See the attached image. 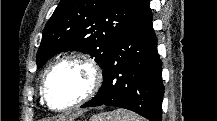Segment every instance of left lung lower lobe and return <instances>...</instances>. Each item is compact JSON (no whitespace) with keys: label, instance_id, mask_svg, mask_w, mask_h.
Returning a JSON list of instances; mask_svg holds the SVG:
<instances>
[{"label":"left lung lower lobe","instance_id":"left-lung-lower-lobe-1","mask_svg":"<svg viewBox=\"0 0 217 121\" xmlns=\"http://www.w3.org/2000/svg\"><path fill=\"white\" fill-rule=\"evenodd\" d=\"M156 47L149 0H141L103 67L101 88L81 107H121L161 121L164 86Z\"/></svg>","mask_w":217,"mask_h":121}]
</instances>
